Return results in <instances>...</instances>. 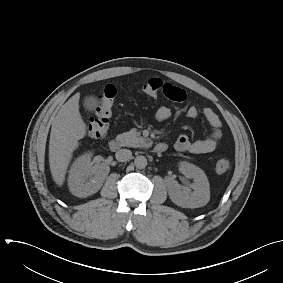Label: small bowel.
<instances>
[{
  "instance_id": "small-bowel-1",
  "label": "small bowel",
  "mask_w": 283,
  "mask_h": 283,
  "mask_svg": "<svg viewBox=\"0 0 283 283\" xmlns=\"http://www.w3.org/2000/svg\"><path fill=\"white\" fill-rule=\"evenodd\" d=\"M161 91L165 97L172 101L180 102L186 98V92L182 88L171 83H163ZM201 114L210 127L209 135L204 139L195 141H192L185 134L180 135L174 143V148L178 152L206 154L213 152L219 145L222 136V124L217 114L210 108H205L201 112L198 108L191 106L186 110L187 117L191 119H197ZM170 116L171 110L166 106H161L156 112V118L159 121H166Z\"/></svg>"
}]
</instances>
